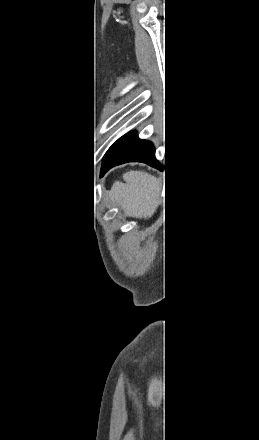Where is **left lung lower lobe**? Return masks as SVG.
<instances>
[{"instance_id":"left-lung-lower-lobe-1","label":"left lung lower lobe","mask_w":259,"mask_h":440,"mask_svg":"<svg viewBox=\"0 0 259 440\" xmlns=\"http://www.w3.org/2000/svg\"><path fill=\"white\" fill-rule=\"evenodd\" d=\"M132 161L144 162L162 170V166L155 158L152 143L140 140L135 132L122 136L109 148L103 158L102 170Z\"/></svg>"}]
</instances>
